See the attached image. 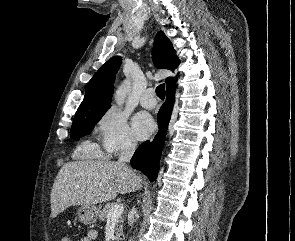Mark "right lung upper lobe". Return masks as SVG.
<instances>
[{
  "label": "right lung upper lobe",
  "mask_w": 295,
  "mask_h": 241,
  "mask_svg": "<svg viewBox=\"0 0 295 241\" xmlns=\"http://www.w3.org/2000/svg\"><path fill=\"white\" fill-rule=\"evenodd\" d=\"M153 60L156 67L170 69L172 71L180 63V60L176 57V51L172 43L162 31H159L155 38ZM121 61L120 56H114L101 66L88 83L86 94L78 110H91L111 103L113 94L112 84L116 78ZM175 79L168 77L166 79L167 87L174 84Z\"/></svg>",
  "instance_id": "1"
}]
</instances>
